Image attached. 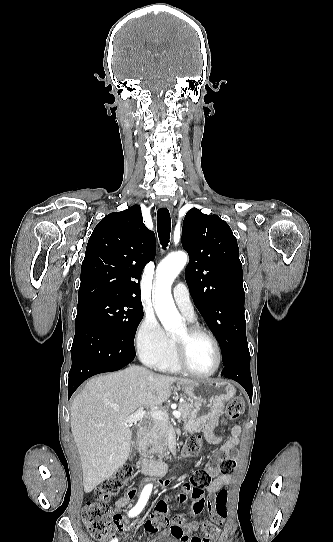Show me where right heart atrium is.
<instances>
[{
    "label": "right heart atrium",
    "mask_w": 333,
    "mask_h": 542,
    "mask_svg": "<svg viewBox=\"0 0 333 542\" xmlns=\"http://www.w3.org/2000/svg\"><path fill=\"white\" fill-rule=\"evenodd\" d=\"M170 345V340L158 319L153 314H146L135 331V346L141 358L163 352Z\"/></svg>",
    "instance_id": "1"
}]
</instances>
